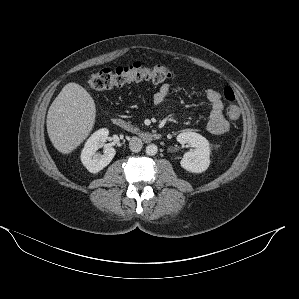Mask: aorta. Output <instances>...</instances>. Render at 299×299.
Wrapping results in <instances>:
<instances>
[{
	"label": "aorta",
	"instance_id": "obj_1",
	"mask_svg": "<svg viewBox=\"0 0 299 299\" xmlns=\"http://www.w3.org/2000/svg\"><path fill=\"white\" fill-rule=\"evenodd\" d=\"M158 147L155 144H149L146 147V154L149 156H153L157 153Z\"/></svg>",
	"mask_w": 299,
	"mask_h": 299
}]
</instances>
